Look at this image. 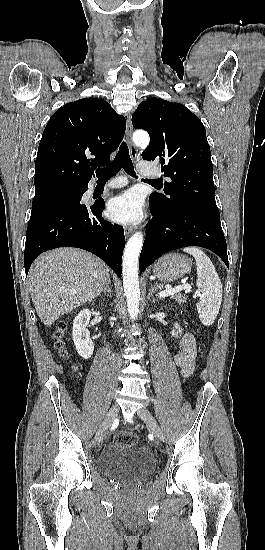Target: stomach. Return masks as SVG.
I'll use <instances>...</instances> for the list:
<instances>
[{
    "label": "stomach",
    "mask_w": 265,
    "mask_h": 550,
    "mask_svg": "<svg viewBox=\"0 0 265 550\" xmlns=\"http://www.w3.org/2000/svg\"><path fill=\"white\" fill-rule=\"evenodd\" d=\"M192 261L180 254H167L153 267V274L162 282H172L191 271Z\"/></svg>",
    "instance_id": "stomach-1"
}]
</instances>
